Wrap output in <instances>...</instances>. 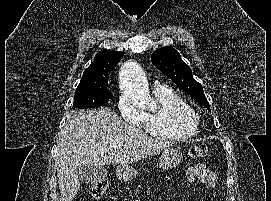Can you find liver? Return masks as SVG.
Instances as JSON below:
<instances>
[{"mask_svg":"<svg viewBox=\"0 0 271 201\" xmlns=\"http://www.w3.org/2000/svg\"><path fill=\"white\" fill-rule=\"evenodd\" d=\"M121 144L115 148V144ZM172 144L128 125L111 109L71 111L57 143L56 169L61 201H72L80 189L78 167L83 164L129 165Z\"/></svg>","mask_w":271,"mask_h":201,"instance_id":"6515ba94","label":"liver"}]
</instances>
